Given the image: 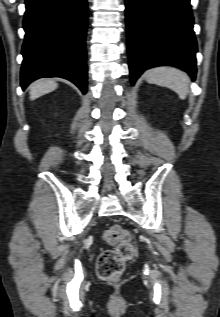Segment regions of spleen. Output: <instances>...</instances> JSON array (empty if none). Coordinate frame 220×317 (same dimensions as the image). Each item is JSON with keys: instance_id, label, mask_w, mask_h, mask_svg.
Returning <instances> with one entry per match:
<instances>
[{"instance_id": "obj_1", "label": "spleen", "mask_w": 220, "mask_h": 317, "mask_svg": "<svg viewBox=\"0 0 220 317\" xmlns=\"http://www.w3.org/2000/svg\"><path fill=\"white\" fill-rule=\"evenodd\" d=\"M146 81L165 86L185 98L189 91V78L186 73L171 66H159L145 72Z\"/></svg>"}]
</instances>
